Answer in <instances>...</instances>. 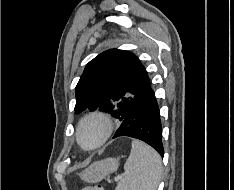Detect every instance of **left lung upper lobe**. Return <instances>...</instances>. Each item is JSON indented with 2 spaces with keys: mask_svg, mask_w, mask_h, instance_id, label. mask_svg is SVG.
Instances as JSON below:
<instances>
[{
  "mask_svg": "<svg viewBox=\"0 0 234 190\" xmlns=\"http://www.w3.org/2000/svg\"><path fill=\"white\" fill-rule=\"evenodd\" d=\"M148 85L146 69L133 53L107 50L86 65L76 86L75 112L98 108L121 123Z\"/></svg>",
  "mask_w": 234,
  "mask_h": 190,
  "instance_id": "5c2ea615",
  "label": "left lung upper lobe"
}]
</instances>
